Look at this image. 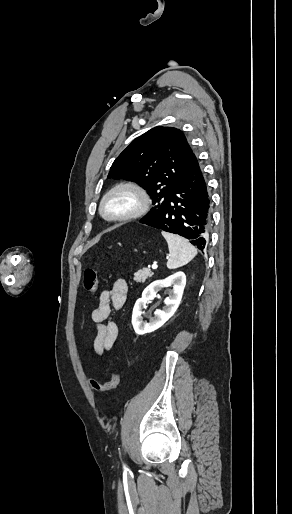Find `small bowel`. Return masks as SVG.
Segmentation results:
<instances>
[{"mask_svg":"<svg viewBox=\"0 0 292 514\" xmlns=\"http://www.w3.org/2000/svg\"><path fill=\"white\" fill-rule=\"evenodd\" d=\"M127 292L126 280L123 278L115 280L109 289L101 292L98 307L91 314L96 330L93 347L99 356L111 350L117 343L119 327L115 321L108 319L112 310H119L123 307Z\"/></svg>","mask_w":292,"mask_h":514,"instance_id":"obj_1","label":"small bowel"}]
</instances>
